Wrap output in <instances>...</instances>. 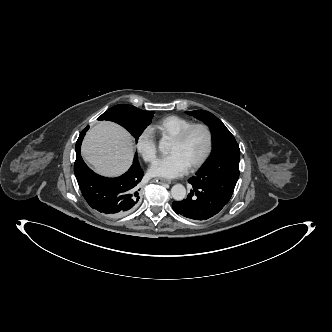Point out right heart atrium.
<instances>
[{
    "label": "right heart atrium",
    "instance_id": "right-heart-atrium-1",
    "mask_svg": "<svg viewBox=\"0 0 332 332\" xmlns=\"http://www.w3.org/2000/svg\"><path fill=\"white\" fill-rule=\"evenodd\" d=\"M136 148L146 162L154 161L157 148L154 133L150 128H146L140 132L137 137Z\"/></svg>",
    "mask_w": 332,
    "mask_h": 332
}]
</instances>
